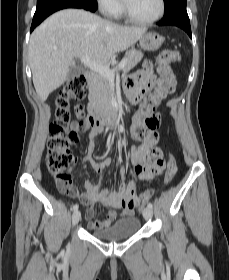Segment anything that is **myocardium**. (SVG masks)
<instances>
[{
    "label": "myocardium",
    "instance_id": "obj_1",
    "mask_svg": "<svg viewBox=\"0 0 229 280\" xmlns=\"http://www.w3.org/2000/svg\"><path fill=\"white\" fill-rule=\"evenodd\" d=\"M166 10V2L165 0H159V10L156 15L148 19H140L133 16L125 3V0H122V12L128 21L138 24V25H151L157 21H159L165 14Z\"/></svg>",
    "mask_w": 229,
    "mask_h": 280
}]
</instances>
